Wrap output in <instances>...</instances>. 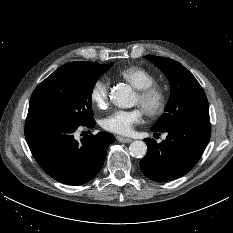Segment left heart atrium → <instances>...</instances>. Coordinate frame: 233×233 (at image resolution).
Returning <instances> with one entry per match:
<instances>
[{
  "label": "left heart atrium",
  "mask_w": 233,
  "mask_h": 233,
  "mask_svg": "<svg viewBox=\"0 0 233 233\" xmlns=\"http://www.w3.org/2000/svg\"><path fill=\"white\" fill-rule=\"evenodd\" d=\"M143 115L141 108L132 110L117 109L103 119L102 126L107 131L126 135L132 131L135 125L142 122Z\"/></svg>",
  "instance_id": "1"
}]
</instances>
